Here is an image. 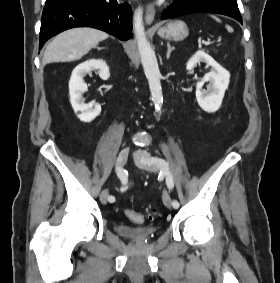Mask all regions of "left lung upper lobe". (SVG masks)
Segmentation results:
<instances>
[{
	"label": "left lung upper lobe",
	"mask_w": 280,
	"mask_h": 283,
	"mask_svg": "<svg viewBox=\"0 0 280 283\" xmlns=\"http://www.w3.org/2000/svg\"><path fill=\"white\" fill-rule=\"evenodd\" d=\"M211 1L219 2V3L225 4L227 6H230L234 9H236V10H239L237 0H211Z\"/></svg>",
	"instance_id": "left-lung-upper-lobe-1"
}]
</instances>
